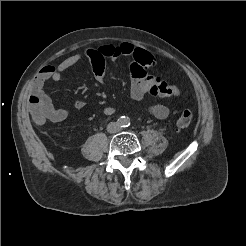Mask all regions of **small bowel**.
I'll use <instances>...</instances> for the list:
<instances>
[{"label": "small bowel", "mask_w": 246, "mask_h": 246, "mask_svg": "<svg viewBox=\"0 0 246 246\" xmlns=\"http://www.w3.org/2000/svg\"><path fill=\"white\" fill-rule=\"evenodd\" d=\"M135 47L130 43H122L119 45H105L97 49H87L84 53L73 54L64 59L57 66H45L36 75L33 84V95L41 96L50 106V113L47 120L51 122H61L69 116L67 109H56L49 96L44 92L43 87L49 80L59 81L63 74L71 67L78 64L84 58L88 59L92 65L95 80L102 84L104 82V65L107 59L115 60L120 57L131 59V97L136 101H141L147 94L151 85L158 79L155 76L147 74L146 71H140L132 61V54ZM86 105L83 100H77L74 103L76 109H82ZM116 108L106 106L102 109L103 114L110 116L116 113ZM149 112L158 119H165L169 115V108L161 103L153 104L149 107Z\"/></svg>", "instance_id": "c3829d8e"}]
</instances>
